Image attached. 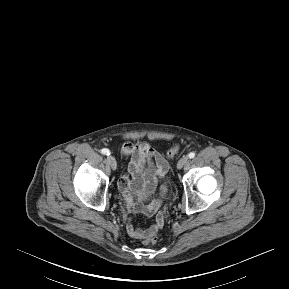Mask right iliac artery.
I'll use <instances>...</instances> for the list:
<instances>
[{
  "label": "right iliac artery",
  "mask_w": 289,
  "mask_h": 289,
  "mask_svg": "<svg viewBox=\"0 0 289 289\" xmlns=\"http://www.w3.org/2000/svg\"><path fill=\"white\" fill-rule=\"evenodd\" d=\"M101 153H102L103 155H110V150H109V149H106V148H103V149L101 150Z\"/></svg>",
  "instance_id": "1"
}]
</instances>
